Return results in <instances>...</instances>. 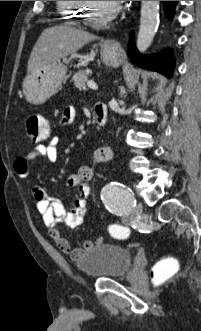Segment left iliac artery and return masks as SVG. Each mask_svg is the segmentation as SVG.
Segmentation results:
<instances>
[{"mask_svg": "<svg viewBox=\"0 0 201 331\" xmlns=\"http://www.w3.org/2000/svg\"><path fill=\"white\" fill-rule=\"evenodd\" d=\"M106 209L117 216L125 217L136 206L132 190L118 182H111L101 192Z\"/></svg>", "mask_w": 201, "mask_h": 331, "instance_id": "1", "label": "left iliac artery"}]
</instances>
